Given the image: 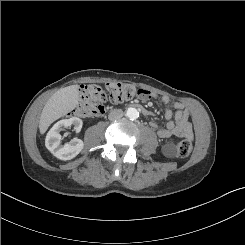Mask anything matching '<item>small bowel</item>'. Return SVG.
<instances>
[{
  "mask_svg": "<svg viewBox=\"0 0 245 245\" xmlns=\"http://www.w3.org/2000/svg\"><path fill=\"white\" fill-rule=\"evenodd\" d=\"M155 96L154 93L146 91V94L139 95V98L148 100ZM161 100L165 104V118L167 119V125L162 127L156 122H151L150 125L157 131V135L162 139L171 136H177L181 139H192L193 129L189 121V113L184 105L179 102L170 104L168 96H162Z\"/></svg>",
  "mask_w": 245,
  "mask_h": 245,
  "instance_id": "small-bowel-1",
  "label": "small bowel"
}]
</instances>
